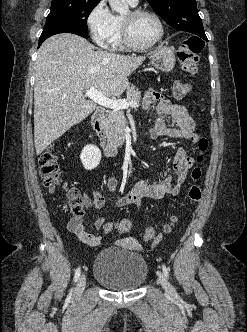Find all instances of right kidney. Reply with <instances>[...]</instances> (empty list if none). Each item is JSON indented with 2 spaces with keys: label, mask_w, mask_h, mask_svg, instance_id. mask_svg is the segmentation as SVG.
<instances>
[{
  "label": "right kidney",
  "mask_w": 247,
  "mask_h": 332,
  "mask_svg": "<svg viewBox=\"0 0 247 332\" xmlns=\"http://www.w3.org/2000/svg\"><path fill=\"white\" fill-rule=\"evenodd\" d=\"M80 159L86 170H92L99 165L101 152L95 145H86L81 152Z\"/></svg>",
  "instance_id": "1"
}]
</instances>
